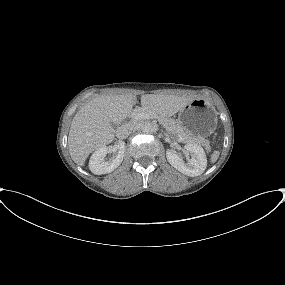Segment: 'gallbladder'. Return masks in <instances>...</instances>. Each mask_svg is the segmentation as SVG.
<instances>
[{
	"mask_svg": "<svg viewBox=\"0 0 285 285\" xmlns=\"http://www.w3.org/2000/svg\"><path fill=\"white\" fill-rule=\"evenodd\" d=\"M111 125L113 126V127H115L116 125H115V123H111Z\"/></svg>",
	"mask_w": 285,
	"mask_h": 285,
	"instance_id": "gallbladder-1",
	"label": "gallbladder"
}]
</instances>
